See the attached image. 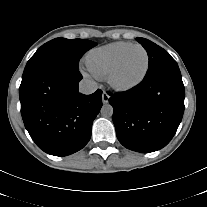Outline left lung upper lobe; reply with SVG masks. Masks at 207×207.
Here are the masks:
<instances>
[{"mask_svg": "<svg viewBox=\"0 0 207 207\" xmlns=\"http://www.w3.org/2000/svg\"><path fill=\"white\" fill-rule=\"evenodd\" d=\"M142 44L149 56V67L145 77L153 75L169 66H176V61L160 46L145 39L136 38Z\"/></svg>", "mask_w": 207, "mask_h": 207, "instance_id": "obj_1", "label": "left lung upper lobe"}]
</instances>
